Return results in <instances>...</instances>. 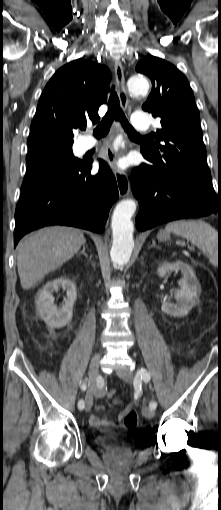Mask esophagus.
Instances as JSON below:
<instances>
[{
    "label": "esophagus",
    "instance_id": "1",
    "mask_svg": "<svg viewBox=\"0 0 221 510\" xmlns=\"http://www.w3.org/2000/svg\"><path fill=\"white\" fill-rule=\"evenodd\" d=\"M114 71H115V77H116V81H117V85H118V96H119V100H120V105H121V108L124 111H126V109L128 107V95H127V91H126V87H125V78H124L123 67H122L121 62L118 60L115 61ZM105 155H106V159H107L109 165L111 166L113 173L115 175V179L117 182V187H118L120 197L128 196L129 192H130V183H129L128 176L122 169H120L117 166L116 155L114 154L113 149L110 145H108L105 148Z\"/></svg>",
    "mask_w": 221,
    "mask_h": 510
}]
</instances>
